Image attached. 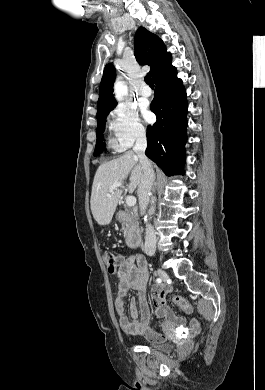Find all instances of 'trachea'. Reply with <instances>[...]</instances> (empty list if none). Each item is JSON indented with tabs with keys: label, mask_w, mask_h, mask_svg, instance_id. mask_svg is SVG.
Here are the masks:
<instances>
[{
	"label": "trachea",
	"mask_w": 265,
	"mask_h": 390,
	"mask_svg": "<svg viewBox=\"0 0 265 390\" xmlns=\"http://www.w3.org/2000/svg\"><path fill=\"white\" fill-rule=\"evenodd\" d=\"M144 80L150 87H154V82L150 75H146Z\"/></svg>",
	"instance_id": "3493384b"
}]
</instances>
